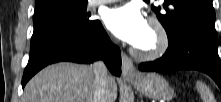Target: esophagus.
I'll return each instance as SVG.
<instances>
[{
	"label": "esophagus",
	"instance_id": "34e87169",
	"mask_svg": "<svg viewBox=\"0 0 221 102\" xmlns=\"http://www.w3.org/2000/svg\"><path fill=\"white\" fill-rule=\"evenodd\" d=\"M122 75L128 80L138 77V72L132 60L124 53H122Z\"/></svg>",
	"mask_w": 221,
	"mask_h": 102
}]
</instances>
